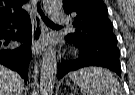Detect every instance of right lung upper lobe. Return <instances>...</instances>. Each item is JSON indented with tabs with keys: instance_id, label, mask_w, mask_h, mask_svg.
Wrapping results in <instances>:
<instances>
[{
	"instance_id": "1",
	"label": "right lung upper lobe",
	"mask_w": 135,
	"mask_h": 95,
	"mask_svg": "<svg viewBox=\"0 0 135 95\" xmlns=\"http://www.w3.org/2000/svg\"><path fill=\"white\" fill-rule=\"evenodd\" d=\"M28 0H0V26L17 24L28 17L22 5Z\"/></svg>"
}]
</instances>
